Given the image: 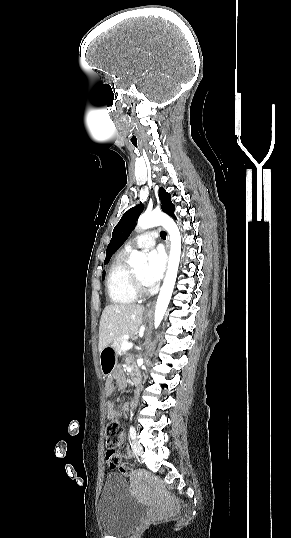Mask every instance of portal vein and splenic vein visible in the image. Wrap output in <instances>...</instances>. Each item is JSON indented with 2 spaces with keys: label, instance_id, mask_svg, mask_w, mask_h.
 <instances>
[{
  "label": "portal vein and splenic vein",
  "instance_id": "1",
  "mask_svg": "<svg viewBox=\"0 0 291 538\" xmlns=\"http://www.w3.org/2000/svg\"><path fill=\"white\" fill-rule=\"evenodd\" d=\"M121 347H122V349H124V350L131 349V348L133 347V343H130V342H124V343L122 344Z\"/></svg>",
  "mask_w": 291,
  "mask_h": 538
}]
</instances>
